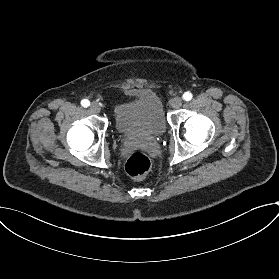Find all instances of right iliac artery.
<instances>
[{"instance_id":"right-iliac-artery-1","label":"right iliac artery","mask_w":279,"mask_h":279,"mask_svg":"<svg viewBox=\"0 0 279 279\" xmlns=\"http://www.w3.org/2000/svg\"><path fill=\"white\" fill-rule=\"evenodd\" d=\"M81 105H82L83 107H88V106L90 105V102H89V100L84 99V100L81 101Z\"/></svg>"}]
</instances>
